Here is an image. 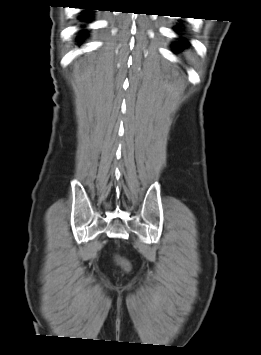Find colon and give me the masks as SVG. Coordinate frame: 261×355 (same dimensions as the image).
I'll return each instance as SVG.
<instances>
[{
	"instance_id": "5ec220e1",
	"label": "colon",
	"mask_w": 261,
	"mask_h": 355,
	"mask_svg": "<svg viewBox=\"0 0 261 355\" xmlns=\"http://www.w3.org/2000/svg\"><path fill=\"white\" fill-rule=\"evenodd\" d=\"M116 262L126 270L130 267L128 261L120 256H116Z\"/></svg>"
}]
</instances>
